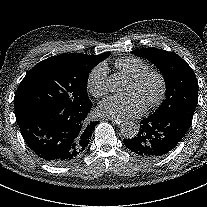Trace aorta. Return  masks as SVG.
<instances>
[{
	"instance_id": "1",
	"label": "aorta",
	"mask_w": 207,
	"mask_h": 207,
	"mask_svg": "<svg viewBox=\"0 0 207 207\" xmlns=\"http://www.w3.org/2000/svg\"><path fill=\"white\" fill-rule=\"evenodd\" d=\"M127 78L121 74L116 73L108 79V87L111 92L122 94L127 89ZM140 127L133 121L124 122L120 126V132L125 139H132L137 136Z\"/></svg>"
}]
</instances>
